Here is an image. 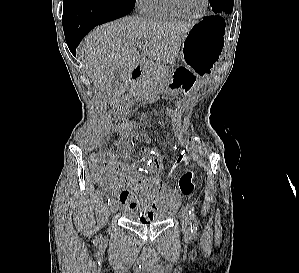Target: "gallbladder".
<instances>
[{
	"mask_svg": "<svg viewBox=\"0 0 299 273\" xmlns=\"http://www.w3.org/2000/svg\"><path fill=\"white\" fill-rule=\"evenodd\" d=\"M120 75H121L120 69H116L115 72H114L113 79H112V85L114 87H117L120 84V82H121Z\"/></svg>",
	"mask_w": 299,
	"mask_h": 273,
	"instance_id": "gallbladder-1",
	"label": "gallbladder"
}]
</instances>
